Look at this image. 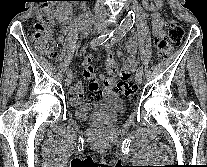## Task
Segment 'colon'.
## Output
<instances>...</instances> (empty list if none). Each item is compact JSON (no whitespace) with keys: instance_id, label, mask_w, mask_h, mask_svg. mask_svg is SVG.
Returning <instances> with one entry per match:
<instances>
[{"instance_id":"obj_1","label":"colon","mask_w":207,"mask_h":167,"mask_svg":"<svg viewBox=\"0 0 207 167\" xmlns=\"http://www.w3.org/2000/svg\"><path fill=\"white\" fill-rule=\"evenodd\" d=\"M53 26V11L52 8L42 7L37 13V20L33 24V43L37 47H41L49 52L52 58L57 57V53L52 51L54 41L51 37ZM184 37L182 26L175 20L171 19L168 22V36L166 39H160L157 42V48L160 54L168 56L172 52V47L181 43ZM118 91L124 95H131L135 91V85L129 80L124 72L121 73V78L118 83Z\"/></svg>"}]
</instances>
